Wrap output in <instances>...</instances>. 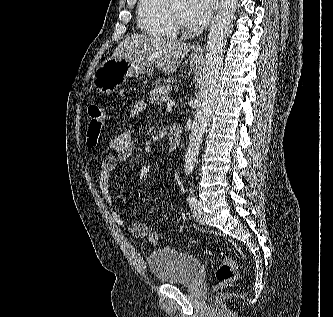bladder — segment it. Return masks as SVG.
<instances>
[{
	"label": "bladder",
	"instance_id": "31cf9c89",
	"mask_svg": "<svg viewBox=\"0 0 333 317\" xmlns=\"http://www.w3.org/2000/svg\"><path fill=\"white\" fill-rule=\"evenodd\" d=\"M147 265L159 283L180 285L194 281L202 267V261L183 251L160 248L148 255Z\"/></svg>",
	"mask_w": 333,
	"mask_h": 317
}]
</instances>
